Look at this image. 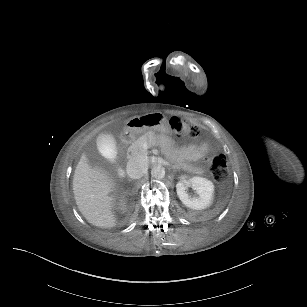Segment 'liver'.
Segmentation results:
<instances>
[{
	"label": "liver",
	"instance_id": "liver-1",
	"mask_svg": "<svg viewBox=\"0 0 307 307\" xmlns=\"http://www.w3.org/2000/svg\"><path fill=\"white\" fill-rule=\"evenodd\" d=\"M113 186L109 176L98 167L92 168L83 154L74 172L73 193L79 211L89 223L101 228L116 226L114 198L109 196Z\"/></svg>",
	"mask_w": 307,
	"mask_h": 307
}]
</instances>
